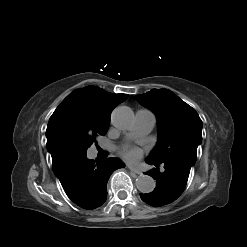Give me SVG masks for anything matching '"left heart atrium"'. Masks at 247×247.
<instances>
[{
  "label": "left heart atrium",
  "instance_id": "1",
  "mask_svg": "<svg viewBox=\"0 0 247 247\" xmlns=\"http://www.w3.org/2000/svg\"><path fill=\"white\" fill-rule=\"evenodd\" d=\"M122 155L129 161H137L141 157V151L135 147H126L122 151Z\"/></svg>",
  "mask_w": 247,
  "mask_h": 247
}]
</instances>
